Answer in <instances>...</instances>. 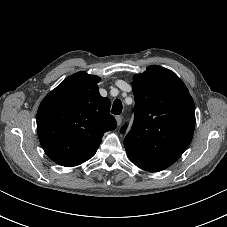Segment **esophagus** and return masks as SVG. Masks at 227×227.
Instances as JSON below:
<instances>
[{
  "mask_svg": "<svg viewBox=\"0 0 227 227\" xmlns=\"http://www.w3.org/2000/svg\"><path fill=\"white\" fill-rule=\"evenodd\" d=\"M116 121H117V125L119 126L122 123V116L118 115L115 117Z\"/></svg>",
  "mask_w": 227,
  "mask_h": 227,
  "instance_id": "esophagus-1",
  "label": "esophagus"
}]
</instances>
